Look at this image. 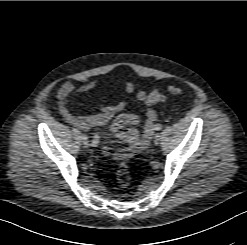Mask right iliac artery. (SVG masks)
<instances>
[{
  "mask_svg": "<svg viewBox=\"0 0 247 245\" xmlns=\"http://www.w3.org/2000/svg\"><path fill=\"white\" fill-rule=\"evenodd\" d=\"M98 143H99V135L95 133L93 136V140L91 141V146L96 147Z\"/></svg>",
  "mask_w": 247,
  "mask_h": 245,
  "instance_id": "1",
  "label": "right iliac artery"
}]
</instances>
